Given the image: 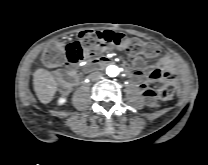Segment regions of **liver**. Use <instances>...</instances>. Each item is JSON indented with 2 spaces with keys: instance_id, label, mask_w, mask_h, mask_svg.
Here are the masks:
<instances>
[{
  "instance_id": "1",
  "label": "liver",
  "mask_w": 208,
  "mask_h": 165,
  "mask_svg": "<svg viewBox=\"0 0 208 165\" xmlns=\"http://www.w3.org/2000/svg\"><path fill=\"white\" fill-rule=\"evenodd\" d=\"M33 85L38 99L43 104H48L57 91V82L51 73L43 68L35 71Z\"/></svg>"
}]
</instances>
